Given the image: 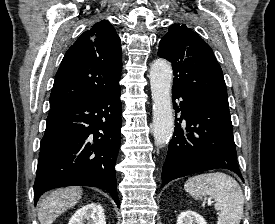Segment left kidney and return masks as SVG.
<instances>
[{
	"label": "left kidney",
	"instance_id": "obj_1",
	"mask_svg": "<svg viewBox=\"0 0 275 224\" xmlns=\"http://www.w3.org/2000/svg\"><path fill=\"white\" fill-rule=\"evenodd\" d=\"M177 224H207L198 213L188 210L181 212L177 218Z\"/></svg>",
	"mask_w": 275,
	"mask_h": 224
}]
</instances>
